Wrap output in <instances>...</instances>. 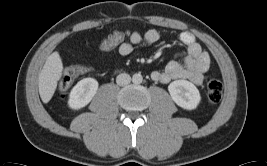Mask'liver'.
I'll return each instance as SVG.
<instances>
[{
  "label": "liver",
  "mask_w": 267,
  "mask_h": 166,
  "mask_svg": "<svg viewBox=\"0 0 267 166\" xmlns=\"http://www.w3.org/2000/svg\"><path fill=\"white\" fill-rule=\"evenodd\" d=\"M63 63L57 51L47 58L39 74V94L44 103H48L54 95L57 83L62 77Z\"/></svg>",
  "instance_id": "1"
}]
</instances>
